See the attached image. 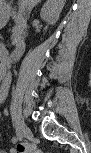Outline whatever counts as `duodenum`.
<instances>
[{
    "label": "duodenum",
    "instance_id": "410a0bca",
    "mask_svg": "<svg viewBox=\"0 0 91 153\" xmlns=\"http://www.w3.org/2000/svg\"><path fill=\"white\" fill-rule=\"evenodd\" d=\"M27 48V39L22 38L9 55L10 60H18L24 54Z\"/></svg>",
    "mask_w": 91,
    "mask_h": 153
}]
</instances>
